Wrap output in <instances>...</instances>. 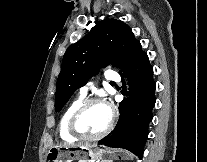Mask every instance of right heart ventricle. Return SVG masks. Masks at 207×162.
<instances>
[{
  "label": "right heart ventricle",
  "instance_id": "e07e8e85",
  "mask_svg": "<svg viewBox=\"0 0 207 162\" xmlns=\"http://www.w3.org/2000/svg\"><path fill=\"white\" fill-rule=\"evenodd\" d=\"M84 97L85 96H79L76 99H74L69 105L68 107L65 109V111L63 112L60 121H59V125H58V131H59V135L61 137V139L63 141L66 142H73L76 141L77 138L72 136L69 131H68V122H69V118L72 115V113L74 112V110L84 101Z\"/></svg>",
  "mask_w": 207,
  "mask_h": 162
}]
</instances>
